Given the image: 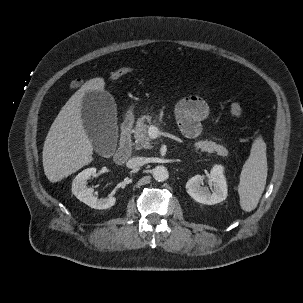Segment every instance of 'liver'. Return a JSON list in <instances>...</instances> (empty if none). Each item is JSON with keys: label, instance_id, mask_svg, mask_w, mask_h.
Listing matches in <instances>:
<instances>
[{"label": "liver", "instance_id": "obj_1", "mask_svg": "<svg viewBox=\"0 0 303 303\" xmlns=\"http://www.w3.org/2000/svg\"><path fill=\"white\" fill-rule=\"evenodd\" d=\"M101 77L86 81L55 118L43 147V167L48 180L59 182L92 162L93 146L83 126L81 109L87 92L103 91Z\"/></svg>", "mask_w": 303, "mask_h": 303}]
</instances>
